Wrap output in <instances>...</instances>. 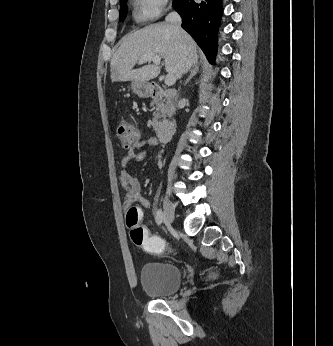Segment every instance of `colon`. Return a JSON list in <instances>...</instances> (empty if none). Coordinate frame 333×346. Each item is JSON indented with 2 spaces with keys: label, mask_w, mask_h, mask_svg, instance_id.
<instances>
[{
  "label": "colon",
  "mask_w": 333,
  "mask_h": 346,
  "mask_svg": "<svg viewBox=\"0 0 333 346\" xmlns=\"http://www.w3.org/2000/svg\"><path fill=\"white\" fill-rule=\"evenodd\" d=\"M117 137L122 147L132 148L138 142L137 127L131 122L122 121L117 129ZM141 210L130 205L126 212V226L130 229V237L133 243L143 248L144 254L150 256H164L167 252L164 250L165 235H149V227L141 225ZM169 249H175V246H169ZM217 274L216 270L212 271Z\"/></svg>",
  "instance_id": "1"
}]
</instances>
